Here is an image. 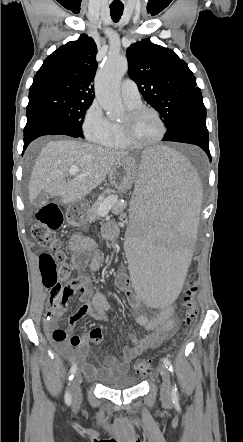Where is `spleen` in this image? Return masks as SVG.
I'll list each match as a JSON object with an SVG mask.
<instances>
[{"label": "spleen", "mask_w": 243, "mask_h": 442, "mask_svg": "<svg viewBox=\"0 0 243 442\" xmlns=\"http://www.w3.org/2000/svg\"><path fill=\"white\" fill-rule=\"evenodd\" d=\"M131 185L130 239L125 258L134 296L146 307H168L180 296L181 280L193 256V231L199 226L202 178L180 153L142 147Z\"/></svg>", "instance_id": "1"}]
</instances>
